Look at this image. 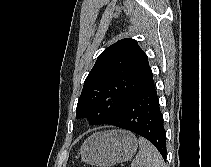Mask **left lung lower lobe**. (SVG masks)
<instances>
[{"instance_id": "left-lung-lower-lobe-1", "label": "left lung lower lobe", "mask_w": 211, "mask_h": 167, "mask_svg": "<svg viewBox=\"0 0 211 167\" xmlns=\"http://www.w3.org/2000/svg\"><path fill=\"white\" fill-rule=\"evenodd\" d=\"M149 140L166 159V131L153 79L132 95L107 123Z\"/></svg>"}]
</instances>
